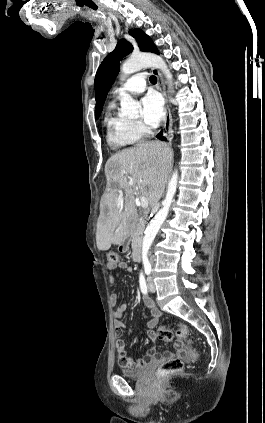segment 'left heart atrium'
I'll return each instance as SVG.
<instances>
[{"label":"left heart atrium","instance_id":"39dd6f15","mask_svg":"<svg viewBox=\"0 0 265 423\" xmlns=\"http://www.w3.org/2000/svg\"><path fill=\"white\" fill-rule=\"evenodd\" d=\"M142 119L151 126H156L164 117V108L161 97L154 92L146 94L141 99Z\"/></svg>","mask_w":265,"mask_h":423}]
</instances>
